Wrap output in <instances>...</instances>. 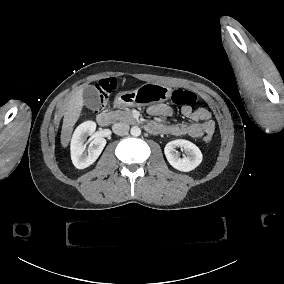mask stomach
<instances>
[{"label": "stomach", "mask_w": 284, "mask_h": 284, "mask_svg": "<svg viewBox=\"0 0 284 284\" xmlns=\"http://www.w3.org/2000/svg\"><path fill=\"white\" fill-rule=\"evenodd\" d=\"M173 89L160 83H145L140 87L119 92L114 99L117 107L146 106L168 101Z\"/></svg>", "instance_id": "1"}]
</instances>
